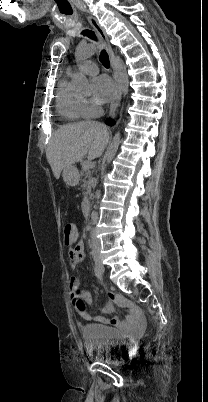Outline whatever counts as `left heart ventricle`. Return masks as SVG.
Returning a JSON list of instances; mask_svg holds the SVG:
<instances>
[{
	"label": "left heart ventricle",
	"instance_id": "1",
	"mask_svg": "<svg viewBox=\"0 0 208 402\" xmlns=\"http://www.w3.org/2000/svg\"><path fill=\"white\" fill-rule=\"evenodd\" d=\"M87 95H89V96L93 95L95 98H99V93L97 92V90H92L90 86H89Z\"/></svg>",
	"mask_w": 208,
	"mask_h": 402
}]
</instances>
